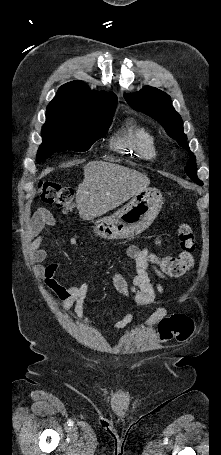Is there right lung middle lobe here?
Here are the masks:
<instances>
[{
  "mask_svg": "<svg viewBox=\"0 0 221 455\" xmlns=\"http://www.w3.org/2000/svg\"><path fill=\"white\" fill-rule=\"evenodd\" d=\"M114 111L115 108L78 120L46 115V123L42 128L43 143L38 150L37 162L45 161L56 152L87 151L95 141L105 135Z\"/></svg>",
  "mask_w": 221,
  "mask_h": 455,
  "instance_id": "dd1d6c3e",
  "label": "right lung middle lobe"
}]
</instances>
